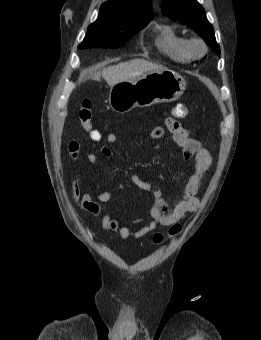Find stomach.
I'll return each mask as SVG.
<instances>
[{"label": "stomach", "instance_id": "obj_1", "mask_svg": "<svg viewBox=\"0 0 261 340\" xmlns=\"http://www.w3.org/2000/svg\"><path fill=\"white\" fill-rule=\"evenodd\" d=\"M185 87L182 76L174 71L146 72L112 86L109 103L114 111L123 114L135 107L175 101L183 94Z\"/></svg>", "mask_w": 261, "mask_h": 340}]
</instances>
